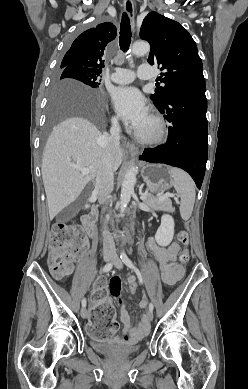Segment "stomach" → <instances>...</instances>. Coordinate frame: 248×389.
Segmentation results:
<instances>
[{
	"instance_id": "stomach-1",
	"label": "stomach",
	"mask_w": 248,
	"mask_h": 389,
	"mask_svg": "<svg viewBox=\"0 0 248 389\" xmlns=\"http://www.w3.org/2000/svg\"><path fill=\"white\" fill-rule=\"evenodd\" d=\"M141 175L152 193L167 190L173 185L170 167L167 165L144 163Z\"/></svg>"
}]
</instances>
